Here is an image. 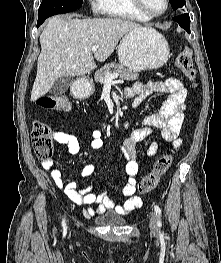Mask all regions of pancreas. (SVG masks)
<instances>
[{"label":"pancreas","mask_w":221,"mask_h":263,"mask_svg":"<svg viewBox=\"0 0 221 263\" xmlns=\"http://www.w3.org/2000/svg\"><path fill=\"white\" fill-rule=\"evenodd\" d=\"M108 74H118L123 80L134 81L139 78V75L124 67L122 64L110 63L101 67L95 74V81L101 84L105 83V77Z\"/></svg>","instance_id":"obj_1"}]
</instances>
